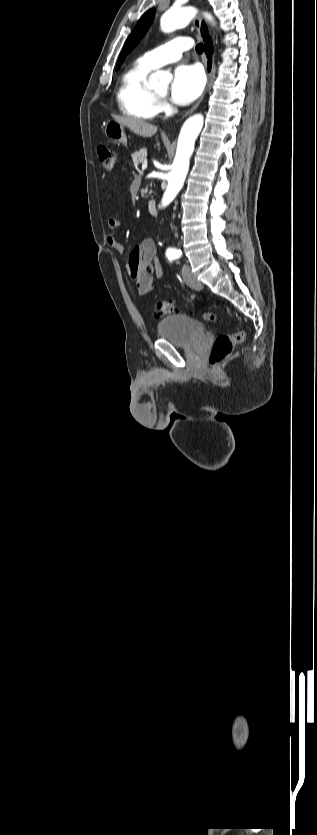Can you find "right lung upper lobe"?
<instances>
[{
	"mask_svg": "<svg viewBox=\"0 0 317 835\" xmlns=\"http://www.w3.org/2000/svg\"><path fill=\"white\" fill-rule=\"evenodd\" d=\"M205 29H206V28H205V26L203 25V26H202V29H201V32L203 33Z\"/></svg>",
	"mask_w": 317,
	"mask_h": 835,
	"instance_id": "right-lung-upper-lobe-1",
	"label": "right lung upper lobe"
}]
</instances>
